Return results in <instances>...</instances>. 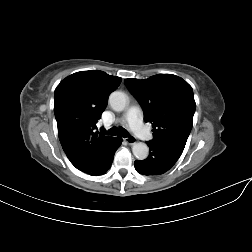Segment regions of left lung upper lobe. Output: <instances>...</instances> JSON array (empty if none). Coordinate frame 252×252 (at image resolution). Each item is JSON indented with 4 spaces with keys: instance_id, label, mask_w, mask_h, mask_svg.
Wrapping results in <instances>:
<instances>
[{
    "instance_id": "obj_1",
    "label": "left lung upper lobe",
    "mask_w": 252,
    "mask_h": 252,
    "mask_svg": "<svg viewBox=\"0 0 252 252\" xmlns=\"http://www.w3.org/2000/svg\"><path fill=\"white\" fill-rule=\"evenodd\" d=\"M125 84L141 104L145 121L152 124L151 141L183 152L196 108L192 87L173 74L126 79Z\"/></svg>"
}]
</instances>
